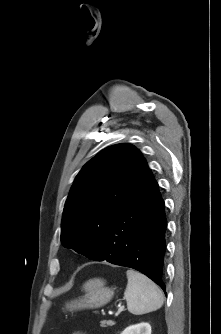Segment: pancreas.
Listing matches in <instances>:
<instances>
[{
    "label": "pancreas",
    "instance_id": "cf45deb5",
    "mask_svg": "<svg viewBox=\"0 0 221 334\" xmlns=\"http://www.w3.org/2000/svg\"><path fill=\"white\" fill-rule=\"evenodd\" d=\"M100 323L102 327L113 326L115 324V322L112 320H108V321L103 320Z\"/></svg>",
    "mask_w": 221,
    "mask_h": 334
}]
</instances>
